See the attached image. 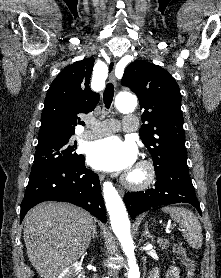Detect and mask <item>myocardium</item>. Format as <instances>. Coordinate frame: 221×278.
I'll return each mask as SVG.
<instances>
[{
    "label": "myocardium",
    "instance_id": "myocardium-1",
    "mask_svg": "<svg viewBox=\"0 0 221 278\" xmlns=\"http://www.w3.org/2000/svg\"><path fill=\"white\" fill-rule=\"evenodd\" d=\"M156 177L155 167L148 160H140L133 170L123 177L126 187L133 190H143L150 187Z\"/></svg>",
    "mask_w": 221,
    "mask_h": 278
}]
</instances>
